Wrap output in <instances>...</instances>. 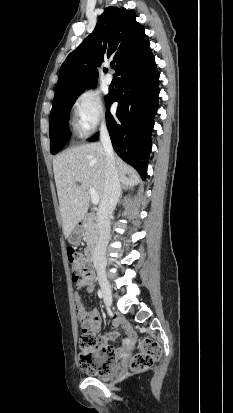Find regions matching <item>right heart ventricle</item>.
I'll list each match as a JSON object with an SVG mask.
<instances>
[{
	"label": "right heart ventricle",
	"instance_id": "e07e8e85",
	"mask_svg": "<svg viewBox=\"0 0 233 413\" xmlns=\"http://www.w3.org/2000/svg\"><path fill=\"white\" fill-rule=\"evenodd\" d=\"M75 131H76V133H78V134H82V132H81V130L79 129V127L76 128Z\"/></svg>",
	"mask_w": 233,
	"mask_h": 413
}]
</instances>
